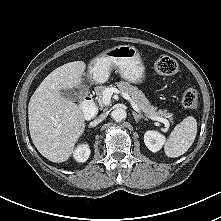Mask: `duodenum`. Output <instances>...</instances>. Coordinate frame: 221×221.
Listing matches in <instances>:
<instances>
[{
    "mask_svg": "<svg viewBox=\"0 0 221 221\" xmlns=\"http://www.w3.org/2000/svg\"><path fill=\"white\" fill-rule=\"evenodd\" d=\"M82 108L86 117H93L97 113L96 104L92 96H85L82 102Z\"/></svg>",
    "mask_w": 221,
    "mask_h": 221,
    "instance_id": "duodenum-1",
    "label": "duodenum"
}]
</instances>
